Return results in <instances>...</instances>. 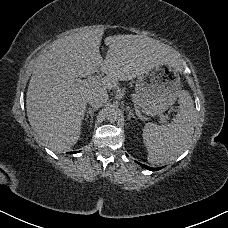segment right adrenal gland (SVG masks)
Masks as SVG:
<instances>
[{
  "label": "right adrenal gland",
  "instance_id": "right-adrenal-gland-1",
  "mask_svg": "<svg viewBox=\"0 0 228 228\" xmlns=\"http://www.w3.org/2000/svg\"><path fill=\"white\" fill-rule=\"evenodd\" d=\"M94 111H97V109H88L86 113V118L84 121V124H87L88 122H90V128L92 127V123H93Z\"/></svg>",
  "mask_w": 228,
  "mask_h": 228
}]
</instances>
